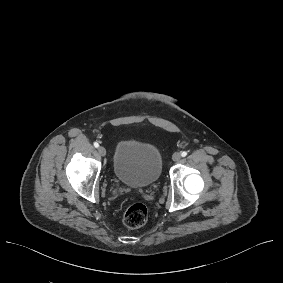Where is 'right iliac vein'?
<instances>
[{"instance_id": "1", "label": "right iliac vein", "mask_w": 283, "mask_h": 283, "mask_svg": "<svg viewBox=\"0 0 283 283\" xmlns=\"http://www.w3.org/2000/svg\"><path fill=\"white\" fill-rule=\"evenodd\" d=\"M98 152L101 156H105L106 155V150L103 146H99L98 147Z\"/></svg>"}]
</instances>
